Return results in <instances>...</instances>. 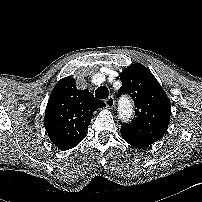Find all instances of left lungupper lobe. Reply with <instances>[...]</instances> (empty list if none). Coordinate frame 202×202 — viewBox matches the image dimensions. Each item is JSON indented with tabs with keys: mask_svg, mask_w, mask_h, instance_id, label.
Segmentation results:
<instances>
[{
	"mask_svg": "<svg viewBox=\"0 0 202 202\" xmlns=\"http://www.w3.org/2000/svg\"><path fill=\"white\" fill-rule=\"evenodd\" d=\"M122 87L118 96L129 94L135 102L136 117L122 130L154 141L161 139L168 128L170 101L153 74L142 64L135 63L120 73Z\"/></svg>",
	"mask_w": 202,
	"mask_h": 202,
	"instance_id": "1",
	"label": "left lung upper lobe"
}]
</instances>
